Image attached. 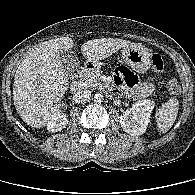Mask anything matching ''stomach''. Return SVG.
Instances as JSON below:
<instances>
[{
	"label": "stomach",
	"mask_w": 195,
	"mask_h": 195,
	"mask_svg": "<svg viewBox=\"0 0 195 195\" xmlns=\"http://www.w3.org/2000/svg\"><path fill=\"white\" fill-rule=\"evenodd\" d=\"M122 56L125 63L139 73L146 72L151 66V53L142 44L132 43L123 48ZM95 67H99L101 62L91 61Z\"/></svg>",
	"instance_id": "1"
}]
</instances>
